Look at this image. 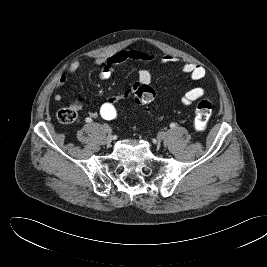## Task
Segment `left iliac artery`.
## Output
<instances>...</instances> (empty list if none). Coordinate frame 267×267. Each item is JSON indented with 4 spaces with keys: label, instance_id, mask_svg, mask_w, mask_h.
I'll list each match as a JSON object with an SVG mask.
<instances>
[{
    "label": "left iliac artery",
    "instance_id": "left-iliac-artery-1",
    "mask_svg": "<svg viewBox=\"0 0 267 267\" xmlns=\"http://www.w3.org/2000/svg\"><path fill=\"white\" fill-rule=\"evenodd\" d=\"M170 127H171V128H175V123H171V124H170Z\"/></svg>",
    "mask_w": 267,
    "mask_h": 267
}]
</instances>
